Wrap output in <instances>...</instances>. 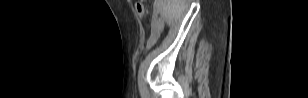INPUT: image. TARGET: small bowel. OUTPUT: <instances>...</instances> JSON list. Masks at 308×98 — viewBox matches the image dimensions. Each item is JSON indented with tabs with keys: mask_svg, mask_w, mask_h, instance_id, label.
Instances as JSON below:
<instances>
[{
	"mask_svg": "<svg viewBox=\"0 0 308 98\" xmlns=\"http://www.w3.org/2000/svg\"><path fill=\"white\" fill-rule=\"evenodd\" d=\"M160 33H161V30L159 28L153 27L152 33H151V36H150V39H149V42H148L149 47H153V45L158 40Z\"/></svg>",
	"mask_w": 308,
	"mask_h": 98,
	"instance_id": "small-bowel-1",
	"label": "small bowel"
}]
</instances>
